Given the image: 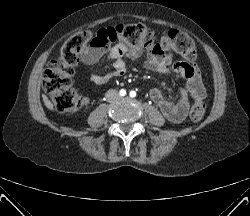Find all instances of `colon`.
Instances as JSON below:
<instances>
[{"mask_svg": "<svg viewBox=\"0 0 250 216\" xmlns=\"http://www.w3.org/2000/svg\"><path fill=\"white\" fill-rule=\"evenodd\" d=\"M121 41L130 47L151 49L156 43L172 50L191 63L196 58L193 40L185 33L169 30L159 34L140 23L117 24L99 30L97 33H78L70 37L61 47L58 56L46 67L43 88L50 96L55 108L62 113H74L84 108L88 100L72 87L74 67L79 62V54L88 47L107 48ZM206 111L204 99H195L190 109V118L199 121Z\"/></svg>", "mask_w": 250, "mask_h": 216, "instance_id": "1", "label": "colon"}]
</instances>
